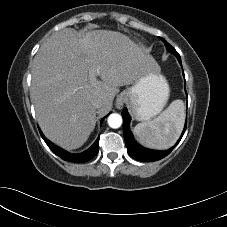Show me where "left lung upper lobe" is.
I'll list each match as a JSON object with an SVG mask.
<instances>
[{
  "mask_svg": "<svg viewBox=\"0 0 227 227\" xmlns=\"http://www.w3.org/2000/svg\"><path fill=\"white\" fill-rule=\"evenodd\" d=\"M161 39L164 41L166 48H167L171 53L175 54V56L177 57V59H178L179 61H181L180 55L177 53V51L175 50V48H173L165 39H163V38H161Z\"/></svg>",
  "mask_w": 227,
  "mask_h": 227,
  "instance_id": "obj_1",
  "label": "left lung upper lobe"
}]
</instances>
